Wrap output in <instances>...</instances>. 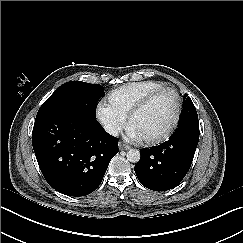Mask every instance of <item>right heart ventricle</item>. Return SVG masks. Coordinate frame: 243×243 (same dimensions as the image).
<instances>
[{
  "label": "right heart ventricle",
  "mask_w": 243,
  "mask_h": 243,
  "mask_svg": "<svg viewBox=\"0 0 243 243\" xmlns=\"http://www.w3.org/2000/svg\"><path fill=\"white\" fill-rule=\"evenodd\" d=\"M163 88L165 85L157 81H142L126 85L112 93L110 107L120 117H129L139 102Z\"/></svg>",
  "instance_id": "e07e8e85"
}]
</instances>
